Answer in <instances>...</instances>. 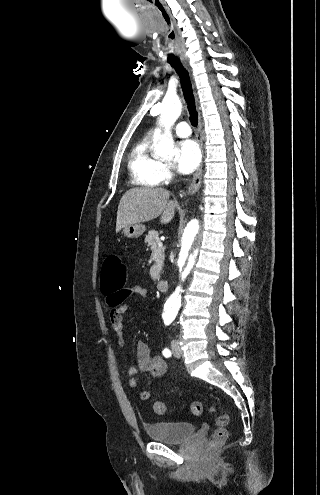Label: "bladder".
<instances>
[{
  "instance_id": "31cf9c89",
  "label": "bladder",
  "mask_w": 320,
  "mask_h": 495,
  "mask_svg": "<svg viewBox=\"0 0 320 495\" xmlns=\"http://www.w3.org/2000/svg\"><path fill=\"white\" fill-rule=\"evenodd\" d=\"M196 427L191 422L160 421L146 425V432L155 441L178 444L192 436Z\"/></svg>"
}]
</instances>
